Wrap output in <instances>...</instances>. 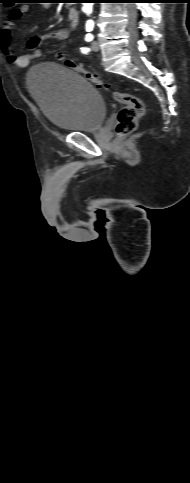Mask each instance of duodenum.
I'll return each instance as SVG.
<instances>
[{
	"label": "duodenum",
	"mask_w": 190,
	"mask_h": 483,
	"mask_svg": "<svg viewBox=\"0 0 190 483\" xmlns=\"http://www.w3.org/2000/svg\"><path fill=\"white\" fill-rule=\"evenodd\" d=\"M68 21L71 27H76L79 20V13L75 7H70L68 10Z\"/></svg>",
	"instance_id": "1"
}]
</instances>
